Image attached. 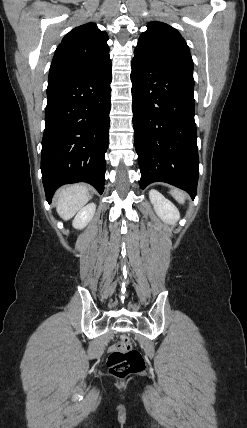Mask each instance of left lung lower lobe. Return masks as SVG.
<instances>
[{
    "label": "left lung lower lobe",
    "instance_id": "left-lung-lower-lobe-1",
    "mask_svg": "<svg viewBox=\"0 0 247 428\" xmlns=\"http://www.w3.org/2000/svg\"><path fill=\"white\" fill-rule=\"evenodd\" d=\"M131 67L140 186L162 181L193 199L199 175L193 74L136 51Z\"/></svg>",
    "mask_w": 247,
    "mask_h": 428
}]
</instances>
